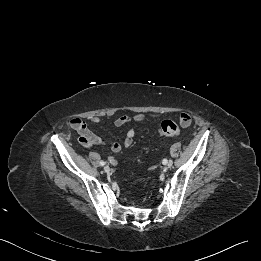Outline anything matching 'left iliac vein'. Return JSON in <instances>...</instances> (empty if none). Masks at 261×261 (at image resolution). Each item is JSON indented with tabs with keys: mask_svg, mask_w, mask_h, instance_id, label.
<instances>
[{
	"mask_svg": "<svg viewBox=\"0 0 261 261\" xmlns=\"http://www.w3.org/2000/svg\"><path fill=\"white\" fill-rule=\"evenodd\" d=\"M172 162L171 161H168L165 165H167L168 168H170L172 166Z\"/></svg>",
	"mask_w": 261,
	"mask_h": 261,
	"instance_id": "left-iliac-vein-1",
	"label": "left iliac vein"
}]
</instances>
